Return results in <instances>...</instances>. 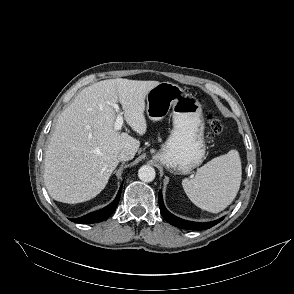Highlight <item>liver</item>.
<instances>
[{"label": "liver", "mask_w": 294, "mask_h": 294, "mask_svg": "<svg viewBox=\"0 0 294 294\" xmlns=\"http://www.w3.org/2000/svg\"><path fill=\"white\" fill-rule=\"evenodd\" d=\"M158 81L107 79L84 88L58 117L45 153L44 182L50 196L75 204L96 197L117 167L118 154L133 157L140 142L114 129L113 104L122 105L127 124L140 136L147 130V93Z\"/></svg>", "instance_id": "1"}]
</instances>
